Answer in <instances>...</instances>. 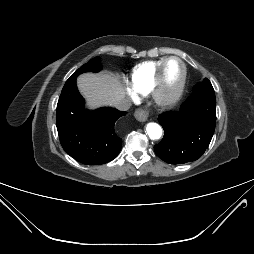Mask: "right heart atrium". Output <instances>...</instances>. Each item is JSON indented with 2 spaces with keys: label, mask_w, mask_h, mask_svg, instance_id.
I'll list each match as a JSON object with an SVG mask.
<instances>
[{
  "label": "right heart atrium",
  "mask_w": 254,
  "mask_h": 254,
  "mask_svg": "<svg viewBox=\"0 0 254 254\" xmlns=\"http://www.w3.org/2000/svg\"><path fill=\"white\" fill-rule=\"evenodd\" d=\"M127 91H128V94H129L132 98H135V97H136V93H135L133 90H131L130 88H128Z\"/></svg>",
  "instance_id": "1"
}]
</instances>
